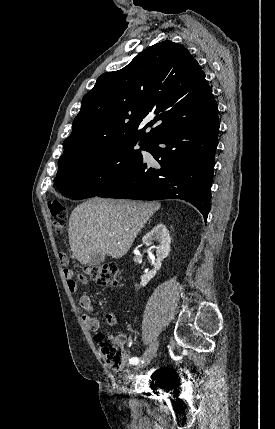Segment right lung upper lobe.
Listing matches in <instances>:
<instances>
[{
    "mask_svg": "<svg viewBox=\"0 0 275 429\" xmlns=\"http://www.w3.org/2000/svg\"><path fill=\"white\" fill-rule=\"evenodd\" d=\"M217 111L205 73L190 52L169 40L157 43L126 67L97 79L82 99L58 165L121 142L148 143L161 133ZM146 119L152 120L138 130Z\"/></svg>",
    "mask_w": 275,
    "mask_h": 429,
    "instance_id": "right-lung-upper-lobe-1",
    "label": "right lung upper lobe"
}]
</instances>
